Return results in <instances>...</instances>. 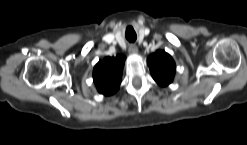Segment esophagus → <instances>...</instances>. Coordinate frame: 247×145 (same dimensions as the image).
Masks as SVG:
<instances>
[{"label": "esophagus", "instance_id": "1", "mask_svg": "<svg viewBox=\"0 0 247 145\" xmlns=\"http://www.w3.org/2000/svg\"><path fill=\"white\" fill-rule=\"evenodd\" d=\"M129 53H131V54H136V53H138V48H137V46L134 45V44H131V45L129 46Z\"/></svg>", "mask_w": 247, "mask_h": 145}]
</instances>
